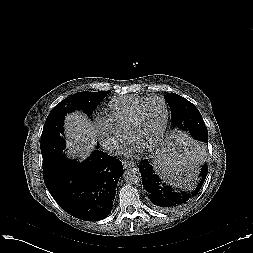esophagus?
I'll list each match as a JSON object with an SVG mask.
<instances>
[{
	"instance_id": "34e87169",
	"label": "esophagus",
	"mask_w": 253,
	"mask_h": 253,
	"mask_svg": "<svg viewBox=\"0 0 253 253\" xmlns=\"http://www.w3.org/2000/svg\"><path fill=\"white\" fill-rule=\"evenodd\" d=\"M135 165H136V163L133 162V161H128V160H124L123 161V168L124 169H128V168L134 167Z\"/></svg>"
}]
</instances>
